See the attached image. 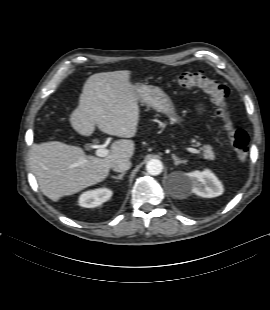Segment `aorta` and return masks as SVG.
Instances as JSON below:
<instances>
[{
	"instance_id": "1",
	"label": "aorta",
	"mask_w": 270,
	"mask_h": 310,
	"mask_svg": "<svg viewBox=\"0 0 270 310\" xmlns=\"http://www.w3.org/2000/svg\"><path fill=\"white\" fill-rule=\"evenodd\" d=\"M163 165L158 159H151L146 164V171L150 175H159L162 172Z\"/></svg>"
}]
</instances>
